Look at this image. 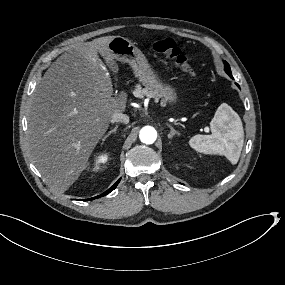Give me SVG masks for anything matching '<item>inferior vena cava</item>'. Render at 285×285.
I'll list each match as a JSON object with an SVG mask.
<instances>
[{
	"label": "inferior vena cava",
	"mask_w": 285,
	"mask_h": 285,
	"mask_svg": "<svg viewBox=\"0 0 285 285\" xmlns=\"http://www.w3.org/2000/svg\"><path fill=\"white\" fill-rule=\"evenodd\" d=\"M117 122L128 123V116L119 112L113 113L111 118V123H117Z\"/></svg>",
	"instance_id": "inferior-vena-cava-1"
}]
</instances>
